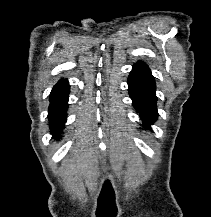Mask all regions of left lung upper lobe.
Segmentation results:
<instances>
[{
    "label": "left lung upper lobe",
    "mask_w": 211,
    "mask_h": 217,
    "mask_svg": "<svg viewBox=\"0 0 211 217\" xmlns=\"http://www.w3.org/2000/svg\"><path fill=\"white\" fill-rule=\"evenodd\" d=\"M137 65H140V66H143V67H145V68L149 69V68H148V66H147L146 64H144L143 62H138V64H137Z\"/></svg>",
    "instance_id": "obj_1"
}]
</instances>
